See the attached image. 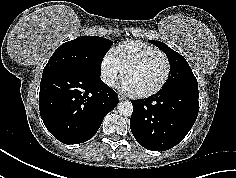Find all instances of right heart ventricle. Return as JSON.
I'll return each instance as SVG.
<instances>
[{
    "mask_svg": "<svg viewBox=\"0 0 236 178\" xmlns=\"http://www.w3.org/2000/svg\"><path fill=\"white\" fill-rule=\"evenodd\" d=\"M154 53H161V51L158 48L140 40H129L121 42L111 51L112 56L123 68V70L133 60Z\"/></svg>",
    "mask_w": 236,
    "mask_h": 178,
    "instance_id": "obj_1",
    "label": "right heart ventricle"
}]
</instances>
